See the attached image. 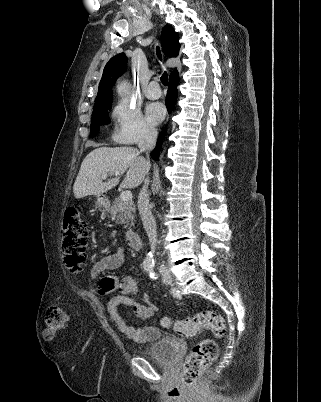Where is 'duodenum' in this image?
I'll return each instance as SVG.
<instances>
[{
	"label": "duodenum",
	"instance_id": "obj_1",
	"mask_svg": "<svg viewBox=\"0 0 321 402\" xmlns=\"http://www.w3.org/2000/svg\"><path fill=\"white\" fill-rule=\"evenodd\" d=\"M102 202L105 203V201L102 199ZM125 242L127 246L134 250H139L141 248V239L138 233L132 230H128L125 234Z\"/></svg>",
	"mask_w": 321,
	"mask_h": 402
}]
</instances>
